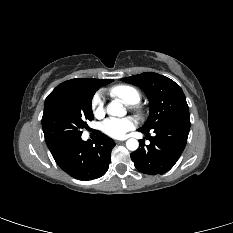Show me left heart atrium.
Segmentation results:
<instances>
[{
    "instance_id": "1",
    "label": "left heart atrium",
    "mask_w": 233,
    "mask_h": 233,
    "mask_svg": "<svg viewBox=\"0 0 233 233\" xmlns=\"http://www.w3.org/2000/svg\"><path fill=\"white\" fill-rule=\"evenodd\" d=\"M136 126V122L133 118L127 117L123 119L110 118L103 122L102 131L116 139L123 138L127 132L133 130Z\"/></svg>"
}]
</instances>
